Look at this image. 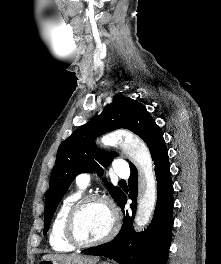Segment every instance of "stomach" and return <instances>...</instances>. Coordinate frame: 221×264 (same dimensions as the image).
<instances>
[{
  "label": "stomach",
  "instance_id": "0dacf381",
  "mask_svg": "<svg viewBox=\"0 0 221 264\" xmlns=\"http://www.w3.org/2000/svg\"><path fill=\"white\" fill-rule=\"evenodd\" d=\"M38 264H60V263H58L56 261H53V260H44V259H42V260H40L38 262ZM100 264H109V263L108 262H101Z\"/></svg>",
  "mask_w": 221,
  "mask_h": 264
}]
</instances>
